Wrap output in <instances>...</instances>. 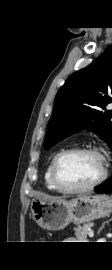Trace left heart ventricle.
<instances>
[{"label":"left heart ventricle","instance_id":"b2bd125f","mask_svg":"<svg viewBox=\"0 0 112 270\" xmlns=\"http://www.w3.org/2000/svg\"><path fill=\"white\" fill-rule=\"evenodd\" d=\"M102 169L99 157L92 154H74L64 158L59 166V175L69 187H82L95 181Z\"/></svg>","mask_w":112,"mask_h":270}]
</instances>
